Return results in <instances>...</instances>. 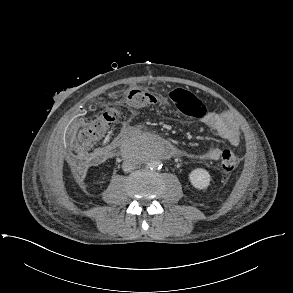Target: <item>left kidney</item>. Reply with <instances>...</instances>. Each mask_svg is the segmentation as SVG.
Returning a JSON list of instances; mask_svg holds the SVG:
<instances>
[{
  "label": "left kidney",
  "mask_w": 293,
  "mask_h": 293,
  "mask_svg": "<svg viewBox=\"0 0 293 293\" xmlns=\"http://www.w3.org/2000/svg\"><path fill=\"white\" fill-rule=\"evenodd\" d=\"M189 180L193 187L203 190L210 185L211 176L207 170L196 168L189 174Z\"/></svg>",
  "instance_id": "obj_1"
}]
</instances>
